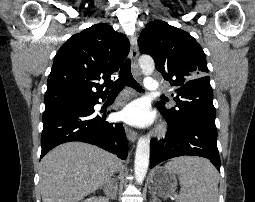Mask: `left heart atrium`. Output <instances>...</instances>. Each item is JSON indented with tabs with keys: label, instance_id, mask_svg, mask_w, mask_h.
I'll return each instance as SVG.
<instances>
[{
	"label": "left heart atrium",
	"instance_id": "1",
	"mask_svg": "<svg viewBox=\"0 0 255 202\" xmlns=\"http://www.w3.org/2000/svg\"><path fill=\"white\" fill-rule=\"evenodd\" d=\"M121 118L134 126H147L153 122V115L144 101L137 100L128 104L121 111Z\"/></svg>",
	"mask_w": 255,
	"mask_h": 202
}]
</instances>
